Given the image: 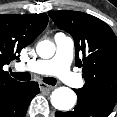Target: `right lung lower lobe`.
<instances>
[{
	"label": "right lung lower lobe",
	"mask_w": 117,
	"mask_h": 117,
	"mask_svg": "<svg viewBox=\"0 0 117 117\" xmlns=\"http://www.w3.org/2000/svg\"><path fill=\"white\" fill-rule=\"evenodd\" d=\"M39 92L36 82L20 83L0 100V117H25L30 101Z\"/></svg>",
	"instance_id": "obj_1"
}]
</instances>
